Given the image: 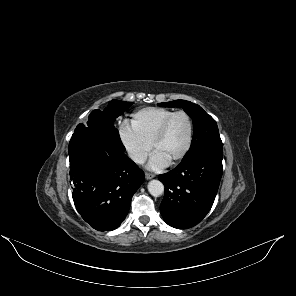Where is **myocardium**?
<instances>
[{"label":"myocardium","mask_w":296,"mask_h":296,"mask_svg":"<svg viewBox=\"0 0 296 296\" xmlns=\"http://www.w3.org/2000/svg\"><path fill=\"white\" fill-rule=\"evenodd\" d=\"M177 115H183L186 117L188 124H189V134H188V140L187 143L183 149V151L171 162L168 163V165L173 166L178 164L180 161H182L187 154L189 153L192 143H193V138H194V122L193 119L191 117V115L185 111V110H178V111H174L173 113H171L160 125V127L158 128L152 143H151V149L152 151H154L156 145L162 140V138L164 137L166 130L170 124V122L172 121V119L174 117H176Z\"/></svg>","instance_id":"f54148a6"}]
</instances>
